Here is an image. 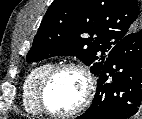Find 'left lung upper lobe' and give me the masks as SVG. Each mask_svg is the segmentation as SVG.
<instances>
[{
  "instance_id": "5c2ea615",
  "label": "left lung upper lobe",
  "mask_w": 142,
  "mask_h": 119,
  "mask_svg": "<svg viewBox=\"0 0 142 119\" xmlns=\"http://www.w3.org/2000/svg\"><path fill=\"white\" fill-rule=\"evenodd\" d=\"M141 27L137 0H54L34 37L27 61L76 56L97 76L105 53Z\"/></svg>"
}]
</instances>
